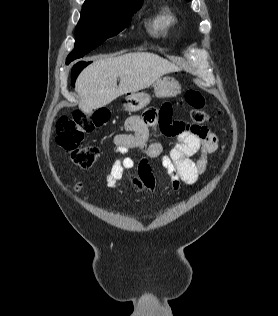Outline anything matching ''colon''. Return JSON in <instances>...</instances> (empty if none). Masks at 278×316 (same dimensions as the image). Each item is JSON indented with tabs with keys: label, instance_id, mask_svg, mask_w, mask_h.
<instances>
[{
	"label": "colon",
	"instance_id": "1",
	"mask_svg": "<svg viewBox=\"0 0 278 316\" xmlns=\"http://www.w3.org/2000/svg\"><path fill=\"white\" fill-rule=\"evenodd\" d=\"M185 101L192 108L193 123L191 126L178 123L174 126L173 133L184 128L198 132L211 119L210 113L205 109V99L199 91L188 90L185 94ZM107 120L108 114L105 111L86 114L75 110L70 116H62L58 120L56 142L70 154L75 165L80 168H89L97 161L100 150L96 146H82V142L87 133L103 126Z\"/></svg>",
	"mask_w": 278,
	"mask_h": 316
}]
</instances>
